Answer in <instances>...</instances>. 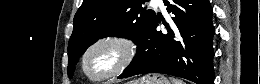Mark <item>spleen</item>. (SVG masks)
Segmentation results:
<instances>
[{"label": "spleen", "mask_w": 260, "mask_h": 84, "mask_svg": "<svg viewBox=\"0 0 260 84\" xmlns=\"http://www.w3.org/2000/svg\"><path fill=\"white\" fill-rule=\"evenodd\" d=\"M173 84H185L182 80L171 78Z\"/></svg>", "instance_id": "spleen-1"}]
</instances>
